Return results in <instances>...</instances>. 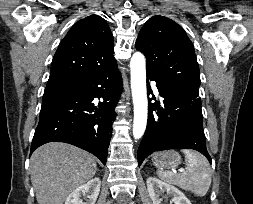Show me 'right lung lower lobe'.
Listing matches in <instances>:
<instances>
[{
  "mask_svg": "<svg viewBox=\"0 0 253 204\" xmlns=\"http://www.w3.org/2000/svg\"><path fill=\"white\" fill-rule=\"evenodd\" d=\"M121 91V75L115 66L45 93L30 155L45 143L65 142L94 154L105 165ZM95 98L103 102L97 105Z\"/></svg>",
  "mask_w": 253,
  "mask_h": 204,
  "instance_id": "1",
  "label": "right lung lower lobe"
}]
</instances>
